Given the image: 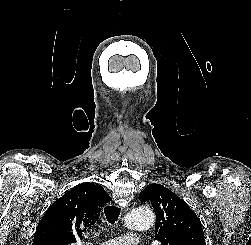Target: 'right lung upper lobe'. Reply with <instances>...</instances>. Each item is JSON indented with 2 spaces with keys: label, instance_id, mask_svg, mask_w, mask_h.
<instances>
[{
  "label": "right lung upper lobe",
  "instance_id": "obj_1",
  "mask_svg": "<svg viewBox=\"0 0 251 245\" xmlns=\"http://www.w3.org/2000/svg\"><path fill=\"white\" fill-rule=\"evenodd\" d=\"M110 196L95 183H82L55 201L39 222L32 245H70L99 218Z\"/></svg>",
  "mask_w": 251,
  "mask_h": 245
}]
</instances>
